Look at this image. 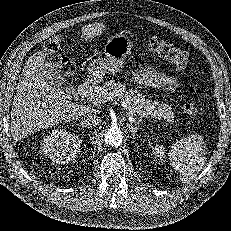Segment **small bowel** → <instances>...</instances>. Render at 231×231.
Instances as JSON below:
<instances>
[{
  "label": "small bowel",
  "mask_w": 231,
  "mask_h": 231,
  "mask_svg": "<svg viewBox=\"0 0 231 231\" xmlns=\"http://www.w3.org/2000/svg\"><path fill=\"white\" fill-rule=\"evenodd\" d=\"M132 80L156 90L172 92L178 87V79L163 72H160L150 66H144L132 73Z\"/></svg>",
  "instance_id": "small-bowel-1"
}]
</instances>
